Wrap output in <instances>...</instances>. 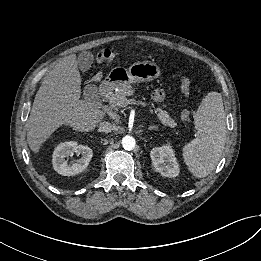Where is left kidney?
Masks as SVG:
<instances>
[{"label":"left kidney","mask_w":261,"mask_h":261,"mask_svg":"<svg viewBox=\"0 0 261 261\" xmlns=\"http://www.w3.org/2000/svg\"><path fill=\"white\" fill-rule=\"evenodd\" d=\"M150 156L154 168L162 176L172 178L179 175V165L170 145L153 148L150 152Z\"/></svg>","instance_id":"left-kidney-1"}]
</instances>
